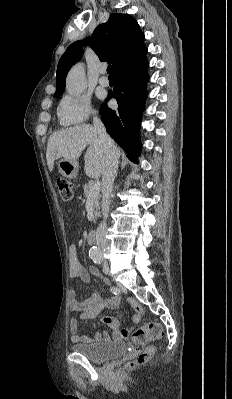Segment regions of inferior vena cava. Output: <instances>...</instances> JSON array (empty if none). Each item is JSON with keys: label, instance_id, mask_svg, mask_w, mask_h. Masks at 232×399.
I'll return each mask as SVG.
<instances>
[{"label": "inferior vena cava", "instance_id": "602c4592", "mask_svg": "<svg viewBox=\"0 0 232 399\" xmlns=\"http://www.w3.org/2000/svg\"><path fill=\"white\" fill-rule=\"evenodd\" d=\"M93 126L94 130H96L99 140L101 144H105L107 148L106 154V164L105 170L102 174V213H103V221L100 223L99 227H97L96 231V243L98 248H102V250H107L109 248L110 242L107 241L105 237L106 233V217L108 215L109 207H110V196L113 190V184L118 168V154L114 148V142L111 140L110 136H108L106 132V128L104 124H102L101 120H99L98 116H94L93 118Z\"/></svg>", "mask_w": 232, "mask_h": 399}]
</instances>
